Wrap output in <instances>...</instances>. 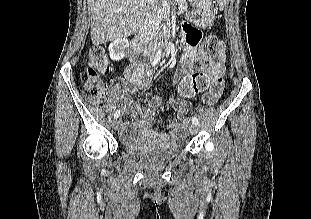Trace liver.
<instances>
[{
	"mask_svg": "<svg viewBox=\"0 0 311 219\" xmlns=\"http://www.w3.org/2000/svg\"><path fill=\"white\" fill-rule=\"evenodd\" d=\"M94 45L133 35L146 14V0H88Z\"/></svg>",
	"mask_w": 311,
	"mask_h": 219,
	"instance_id": "liver-1",
	"label": "liver"
}]
</instances>
